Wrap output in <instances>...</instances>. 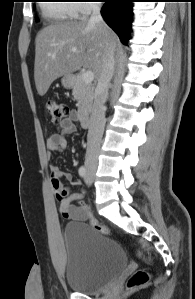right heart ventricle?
I'll list each match as a JSON object with an SVG mask.
<instances>
[{
	"label": "right heart ventricle",
	"mask_w": 195,
	"mask_h": 299,
	"mask_svg": "<svg viewBox=\"0 0 195 299\" xmlns=\"http://www.w3.org/2000/svg\"><path fill=\"white\" fill-rule=\"evenodd\" d=\"M43 6L44 16L52 23H63L71 20L74 14V3L67 1H50Z\"/></svg>",
	"instance_id": "right-heart-ventricle-1"
}]
</instances>
